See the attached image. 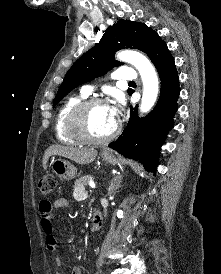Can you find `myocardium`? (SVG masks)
Listing matches in <instances>:
<instances>
[{
  "label": "myocardium",
  "mask_w": 221,
  "mask_h": 274,
  "mask_svg": "<svg viewBox=\"0 0 221 274\" xmlns=\"http://www.w3.org/2000/svg\"><path fill=\"white\" fill-rule=\"evenodd\" d=\"M99 105H108L104 98L93 97L77 103L69 112L67 118V128L69 133L80 142L89 144H102L113 139L119 130V123L116 122L113 129L105 136H92L86 128V118L89 111Z\"/></svg>",
  "instance_id": "f54148a6"
}]
</instances>
